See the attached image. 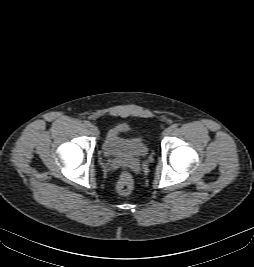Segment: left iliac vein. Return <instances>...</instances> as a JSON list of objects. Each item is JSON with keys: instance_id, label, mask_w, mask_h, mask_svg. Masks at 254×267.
Instances as JSON below:
<instances>
[{"instance_id": "1", "label": "left iliac vein", "mask_w": 254, "mask_h": 267, "mask_svg": "<svg viewBox=\"0 0 254 267\" xmlns=\"http://www.w3.org/2000/svg\"><path fill=\"white\" fill-rule=\"evenodd\" d=\"M172 131H173L172 127H168L163 131L162 136H164V137L168 136L171 134Z\"/></svg>"}]
</instances>
